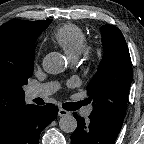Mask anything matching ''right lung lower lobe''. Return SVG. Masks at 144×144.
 I'll use <instances>...</instances> for the list:
<instances>
[{"mask_svg": "<svg viewBox=\"0 0 144 144\" xmlns=\"http://www.w3.org/2000/svg\"><path fill=\"white\" fill-rule=\"evenodd\" d=\"M58 108L46 106H25L7 130L0 135V144H39L41 131L57 116Z\"/></svg>", "mask_w": 144, "mask_h": 144, "instance_id": "right-lung-lower-lobe-1", "label": "right lung lower lobe"}]
</instances>
